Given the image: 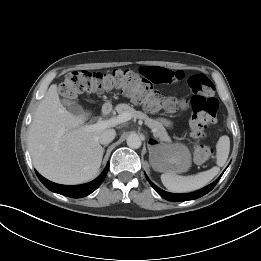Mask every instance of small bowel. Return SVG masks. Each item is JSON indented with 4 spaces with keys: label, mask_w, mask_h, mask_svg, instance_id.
Masks as SVG:
<instances>
[{
    "label": "small bowel",
    "mask_w": 261,
    "mask_h": 261,
    "mask_svg": "<svg viewBox=\"0 0 261 261\" xmlns=\"http://www.w3.org/2000/svg\"><path fill=\"white\" fill-rule=\"evenodd\" d=\"M141 74L156 84H171L183 79L184 74L181 71H173L163 67H142ZM168 124L166 120L162 121Z\"/></svg>",
    "instance_id": "1"
}]
</instances>
